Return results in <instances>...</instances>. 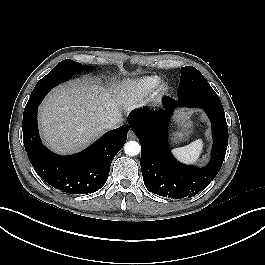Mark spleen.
Segmentation results:
<instances>
[{"label": "spleen", "instance_id": "1", "mask_svg": "<svg viewBox=\"0 0 265 265\" xmlns=\"http://www.w3.org/2000/svg\"><path fill=\"white\" fill-rule=\"evenodd\" d=\"M202 150L203 141L198 139L187 146L173 149L172 153L180 161L186 164H194L199 160Z\"/></svg>", "mask_w": 265, "mask_h": 265}]
</instances>
